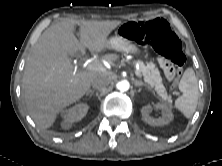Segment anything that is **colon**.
Returning a JSON list of instances; mask_svg holds the SVG:
<instances>
[{"label":"colon","instance_id":"colon-1","mask_svg":"<svg viewBox=\"0 0 222 166\" xmlns=\"http://www.w3.org/2000/svg\"><path fill=\"white\" fill-rule=\"evenodd\" d=\"M119 33L141 45H151L162 55L160 66L169 81H175L183 71L186 57L181 42L167 21L156 18L129 22Z\"/></svg>","mask_w":222,"mask_h":166}]
</instances>
